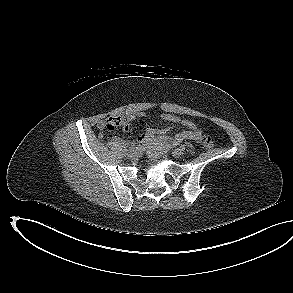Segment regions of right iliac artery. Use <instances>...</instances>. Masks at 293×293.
<instances>
[{
	"instance_id": "1",
	"label": "right iliac artery",
	"mask_w": 293,
	"mask_h": 293,
	"mask_svg": "<svg viewBox=\"0 0 293 293\" xmlns=\"http://www.w3.org/2000/svg\"><path fill=\"white\" fill-rule=\"evenodd\" d=\"M142 147L140 146V145H138V146H134V145H132V146H126V147H124V151H129V150H139V149H141Z\"/></svg>"
}]
</instances>
